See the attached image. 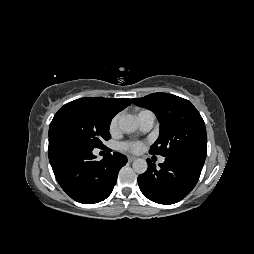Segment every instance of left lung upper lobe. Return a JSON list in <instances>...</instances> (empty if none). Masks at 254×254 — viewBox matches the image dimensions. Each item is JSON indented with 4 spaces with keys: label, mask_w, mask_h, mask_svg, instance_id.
<instances>
[{
    "label": "left lung upper lobe",
    "mask_w": 254,
    "mask_h": 254,
    "mask_svg": "<svg viewBox=\"0 0 254 254\" xmlns=\"http://www.w3.org/2000/svg\"><path fill=\"white\" fill-rule=\"evenodd\" d=\"M132 101L139 107L153 111L159 120L160 135L150 148L151 154L206 158L205 123L190 101L167 93H153Z\"/></svg>",
    "instance_id": "left-lung-upper-lobe-1"
}]
</instances>
